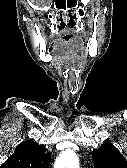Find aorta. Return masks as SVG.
<instances>
[{
	"instance_id": "762f6f07",
	"label": "aorta",
	"mask_w": 127,
	"mask_h": 168,
	"mask_svg": "<svg viewBox=\"0 0 127 168\" xmlns=\"http://www.w3.org/2000/svg\"><path fill=\"white\" fill-rule=\"evenodd\" d=\"M54 168H79L78 158L74 151H64L56 160Z\"/></svg>"
}]
</instances>
